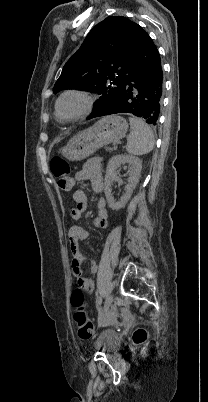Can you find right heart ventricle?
<instances>
[{
    "mask_svg": "<svg viewBox=\"0 0 208 402\" xmlns=\"http://www.w3.org/2000/svg\"><path fill=\"white\" fill-rule=\"evenodd\" d=\"M56 121L60 122V120H58V118L55 116Z\"/></svg>",
    "mask_w": 208,
    "mask_h": 402,
    "instance_id": "obj_1",
    "label": "right heart ventricle"
}]
</instances>
